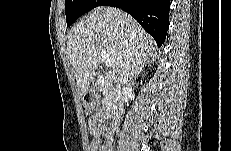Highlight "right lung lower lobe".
I'll use <instances>...</instances> for the list:
<instances>
[{
  "mask_svg": "<svg viewBox=\"0 0 231 151\" xmlns=\"http://www.w3.org/2000/svg\"><path fill=\"white\" fill-rule=\"evenodd\" d=\"M102 5L121 8L139 22L155 39L158 47L164 43L169 25L170 0H104Z\"/></svg>",
  "mask_w": 231,
  "mask_h": 151,
  "instance_id": "right-lung-lower-lobe-1",
  "label": "right lung lower lobe"
}]
</instances>
